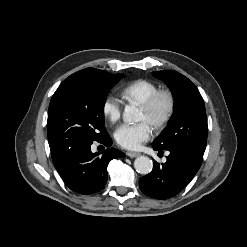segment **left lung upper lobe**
Returning a JSON list of instances; mask_svg holds the SVG:
<instances>
[{
    "label": "left lung upper lobe",
    "mask_w": 247,
    "mask_h": 247,
    "mask_svg": "<svg viewBox=\"0 0 247 247\" xmlns=\"http://www.w3.org/2000/svg\"><path fill=\"white\" fill-rule=\"evenodd\" d=\"M166 81L175 103L169 125L153 141L161 149L188 147L204 153L207 142V117L203 98L197 87L184 75L163 70L153 72Z\"/></svg>",
    "instance_id": "5c2ea615"
}]
</instances>
